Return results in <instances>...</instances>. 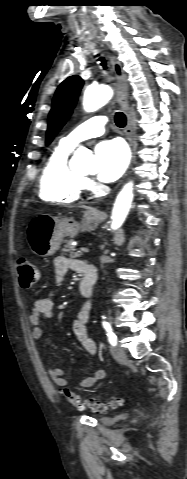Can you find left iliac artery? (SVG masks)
Returning <instances> with one entry per match:
<instances>
[{
    "mask_svg": "<svg viewBox=\"0 0 187 479\" xmlns=\"http://www.w3.org/2000/svg\"><path fill=\"white\" fill-rule=\"evenodd\" d=\"M102 318L105 319L106 317L103 316ZM102 324H103L104 329L107 332L109 343L111 345L115 346L117 344V337H116L115 333L113 332L110 323H108L106 321H103Z\"/></svg>",
    "mask_w": 187,
    "mask_h": 479,
    "instance_id": "44dca946",
    "label": "left iliac artery"
}]
</instances>
